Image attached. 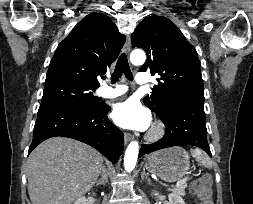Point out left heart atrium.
<instances>
[{"mask_svg": "<svg viewBox=\"0 0 253 204\" xmlns=\"http://www.w3.org/2000/svg\"><path fill=\"white\" fill-rule=\"evenodd\" d=\"M112 118L120 127L132 130H146L151 124L150 112L133 98L116 104Z\"/></svg>", "mask_w": 253, "mask_h": 204, "instance_id": "39dd6f15", "label": "left heart atrium"}]
</instances>
